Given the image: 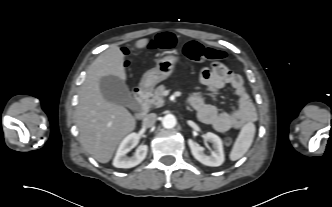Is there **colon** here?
<instances>
[{
  "label": "colon",
  "instance_id": "colon-1",
  "mask_svg": "<svg viewBox=\"0 0 332 207\" xmlns=\"http://www.w3.org/2000/svg\"><path fill=\"white\" fill-rule=\"evenodd\" d=\"M175 42V36L171 33H162L150 43V47L162 49L171 48ZM185 55L197 62H220L227 59V54L219 49L207 48L196 41H190L185 45ZM232 143L230 137L225 138V144L229 146Z\"/></svg>",
  "mask_w": 332,
  "mask_h": 207
}]
</instances>
